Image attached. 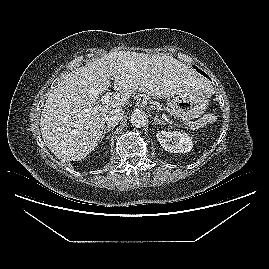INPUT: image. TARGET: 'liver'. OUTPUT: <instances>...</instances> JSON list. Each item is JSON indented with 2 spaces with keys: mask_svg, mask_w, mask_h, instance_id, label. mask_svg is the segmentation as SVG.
Instances as JSON below:
<instances>
[{
  "mask_svg": "<svg viewBox=\"0 0 269 269\" xmlns=\"http://www.w3.org/2000/svg\"><path fill=\"white\" fill-rule=\"evenodd\" d=\"M119 93L106 105L99 97L111 87ZM207 92L205 80L177 59L130 51L107 54L64 77L49 94L40 127L46 146L62 161H79L102 140L106 114L128 104L139 90L154 99L192 89ZM91 108V111H86Z\"/></svg>",
  "mask_w": 269,
  "mask_h": 269,
  "instance_id": "obj_1",
  "label": "liver"
}]
</instances>
